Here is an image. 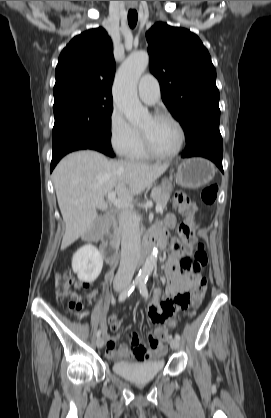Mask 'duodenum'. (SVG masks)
Here are the masks:
<instances>
[{
  "label": "duodenum",
  "instance_id": "410a0bca",
  "mask_svg": "<svg viewBox=\"0 0 271 418\" xmlns=\"http://www.w3.org/2000/svg\"><path fill=\"white\" fill-rule=\"evenodd\" d=\"M97 235L90 234L87 236L88 240H96ZM101 249L106 261L113 264L117 258L118 251V231L116 224V215L109 212L107 221L101 233ZM165 242V232L154 229L145 236L139 250V259L143 260L155 246H162Z\"/></svg>",
  "mask_w": 271,
  "mask_h": 418
}]
</instances>
